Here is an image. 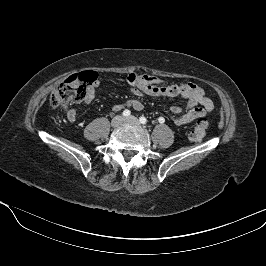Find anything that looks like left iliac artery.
Returning a JSON list of instances; mask_svg holds the SVG:
<instances>
[{"instance_id":"44dca946","label":"left iliac artery","mask_w":266,"mask_h":266,"mask_svg":"<svg viewBox=\"0 0 266 266\" xmlns=\"http://www.w3.org/2000/svg\"><path fill=\"white\" fill-rule=\"evenodd\" d=\"M139 120H140V122H141L142 124H146V123H147V119H146L144 116H141V117L139 118Z\"/></svg>"}]
</instances>
